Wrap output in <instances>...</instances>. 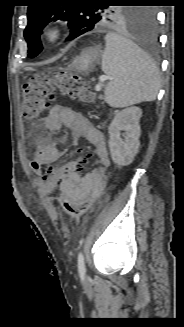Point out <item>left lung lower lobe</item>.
I'll return each instance as SVG.
<instances>
[{"label": "left lung lower lobe", "mask_w": 184, "mask_h": 327, "mask_svg": "<svg viewBox=\"0 0 184 327\" xmlns=\"http://www.w3.org/2000/svg\"><path fill=\"white\" fill-rule=\"evenodd\" d=\"M147 14L141 20V22L136 26L135 34L137 44L139 48L146 53L151 55H156L158 53V35H157V19L154 12L151 9H145ZM80 35H72L67 38V40L74 39Z\"/></svg>", "instance_id": "0a47b994"}]
</instances>
